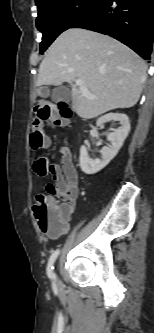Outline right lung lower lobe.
<instances>
[{
  "label": "right lung lower lobe",
  "instance_id": "98d812e1",
  "mask_svg": "<svg viewBox=\"0 0 154 333\" xmlns=\"http://www.w3.org/2000/svg\"><path fill=\"white\" fill-rule=\"evenodd\" d=\"M71 28L112 36L149 59L154 34V0H101Z\"/></svg>",
  "mask_w": 154,
  "mask_h": 333
}]
</instances>
